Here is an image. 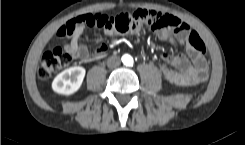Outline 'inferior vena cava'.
<instances>
[{
	"label": "inferior vena cava",
	"mask_w": 245,
	"mask_h": 145,
	"mask_svg": "<svg viewBox=\"0 0 245 145\" xmlns=\"http://www.w3.org/2000/svg\"><path fill=\"white\" fill-rule=\"evenodd\" d=\"M120 65V58L118 56L109 57L107 60V66L109 68H116Z\"/></svg>",
	"instance_id": "602c4592"
}]
</instances>
